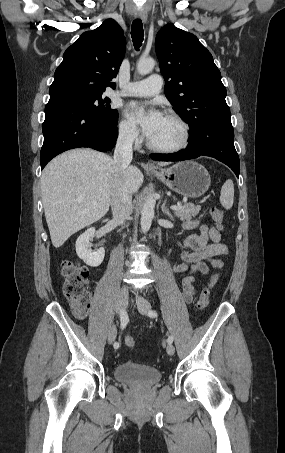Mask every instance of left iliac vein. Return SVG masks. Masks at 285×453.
<instances>
[{
	"mask_svg": "<svg viewBox=\"0 0 285 453\" xmlns=\"http://www.w3.org/2000/svg\"><path fill=\"white\" fill-rule=\"evenodd\" d=\"M136 304H137L138 311L142 315H146L151 308L150 303L141 296L137 297ZM166 350L169 355H173L175 352V348L172 344H168Z\"/></svg>",
	"mask_w": 285,
	"mask_h": 453,
	"instance_id": "1",
	"label": "left iliac vein"
}]
</instances>
